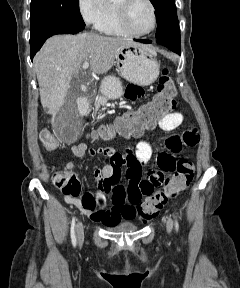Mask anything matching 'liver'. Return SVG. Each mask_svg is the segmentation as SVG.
<instances>
[{
  "label": "liver",
  "instance_id": "obj_1",
  "mask_svg": "<svg viewBox=\"0 0 240 288\" xmlns=\"http://www.w3.org/2000/svg\"><path fill=\"white\" fill-rule=\"evenodd\" d=\"M122 46H144L130 39L95 33L56 35L49 38L34 58L40 100L48 113L56 115L66 103L70 82L85 62L93 73L103 74L115 64Z\"/></svg>",
  "mask_w": 240,
  "mask_h": 288
}]
</instances>
